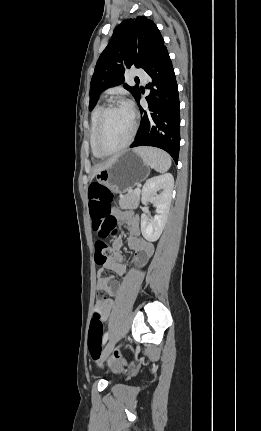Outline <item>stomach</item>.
Wrapping results in <instances>:
<instances>
[{"mask_svg":"<svg viewBox=\"0 0 261 431\" xmlns=\"http://www.w3.org/2000/svg\"><path fill=\"white\" fill-rule=\"evenodd\" d=\"M150 167L140 154L127 150L118 155L116 160L96 174L97 181L113 192L128 191L144 181Z\"/></svg>","mask_w":261,"mask_h":431,"instance_id":"obj_1","label":"stomach"}]
</instances>
